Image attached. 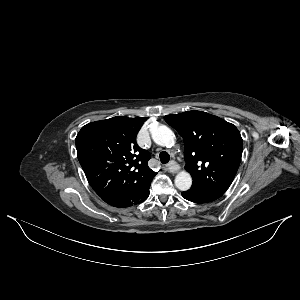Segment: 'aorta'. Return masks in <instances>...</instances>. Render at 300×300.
Masks as SVG:
<instances>
[{
	"label": "aorta",
	"instance_id": "aorta-1",
	"mask_svg": "<svg viewBox=\"0 0 300 300\" xmlns=\"http://www.w3.org/2000/svg\"><path fill=\"white\" fill-rule=\"evenodd\" d=\"M154 142L163 147H170L174 144L175 135L170 128L165 125L156 127L152 132ZM175 185L181 191L190 189L192 185L191 175L186 171L179 172L175 177Z\"/></svg>",
	"mask_w": 300,
	"mask_h": 300
}]
</instances>
